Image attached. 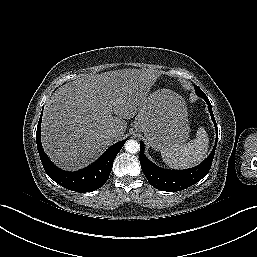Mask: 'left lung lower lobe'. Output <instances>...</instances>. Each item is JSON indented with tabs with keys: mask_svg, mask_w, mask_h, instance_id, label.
I'll return each instance as SVG.
<instances>
[{
	"mask_svg": "<svg viewBox=\"0 0 257 257\" xmlns=\"http://www.w3.org/2000/svg\"><path fill=\"white\" fill-rule=\"evenodd\" d=\"M196 93L199 97H202L207 105L208 110L211 114V118L214 122L216 131H217V138H218V129L217 124L213 115L212 106L205 95V93L198 87L195 86ZM216 138V141H217ZM217 142H215V146L210 153V155L198 166H195L190 169L185 170H168L160 168L156 165H154L150 160L147 159V157L144 155V144L143 142L140 143V164L141 168L148 180V182L155 188L159 190H165L168 192H175L184 190L198 181H200L202 178H204L212 165V161L215 154Z\"/></svg>",
	"mask_w": 257,
	"mask_h": 257,
	"instance_id": "1",
	"label": "left lung lower lobe"
}]
</instances>
